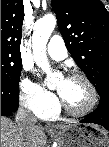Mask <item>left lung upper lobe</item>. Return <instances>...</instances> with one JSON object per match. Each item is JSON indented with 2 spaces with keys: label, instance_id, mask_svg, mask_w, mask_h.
I'll return each instance as SVG.
<instances>
[{
  "label": "left lung upper lobe",
  "instance_id": "5c2ea615",
  "mask_svg": "<svg viewBox=\"0 0 109 147\" xmlns=\"http://www.w3.org/2000/svg\"><path fill=\"white\" fill-rule=\"evenodd\" d=\"M60 32L77 65L96 87L109 90V12L100 0H52Z\"/></svg>",
  "mask_w": 109,
  "mask_h": 147
}]
</instances>
